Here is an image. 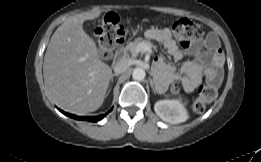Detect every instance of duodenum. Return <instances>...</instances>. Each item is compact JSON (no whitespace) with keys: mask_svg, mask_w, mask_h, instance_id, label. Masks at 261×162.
Segmentation results:
<instances>
[{"mask_svg":"<svg viewBox=\"0 0 261 162\" xmlns=\"http://www.w3.org/2000/svg\"><path fill=\"white\" fill-rule=\"evenodd\" d=\"M123 41H124V40H123ZM123 41L120 42V43H117V44H120L117 49H118L119 55H121V56L124 54V46H123V44H122ZM117 44H116V45H117Z\"/></svg>","mask_w":261,"mask_h":162,"instance_id":"410a0bca","label":"duodenum"}]
</instances>
